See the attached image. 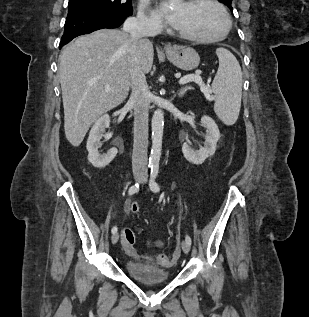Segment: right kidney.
<instances>
[{
  "mask_svg": "<svg viewBox=\"0 0 309 317\" xmlns=\"http://www.w3.org/2000/svg\"><path fill=\"white\" fill-rule=\"evenodd\" d=\"M110 125V117L105 114L101 116L92 126L87 140L88 161L96 168L106 167L117 155V148H111L106 154H100V140L105 128Z\"/></svg>",
  "mask_w": 309,
  "mask_h": 317,
  "instance_id": "1",
  "label": "right kidney"
}]
</instances>
